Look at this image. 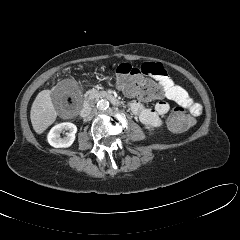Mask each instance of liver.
Segmentation results:
<instances>
[{
    "label": "liver",
    "instance_id": "1",
    "mask_svg": "<svg viewBox=\"0 0 240 240\" xmlns=\"http://www.w3.org/2000/svg\"><path fill=\"white\" fill-rule=\"evenodd\" d=\"M50 90L41 91L35 98L31 111L30 119L36 133H43L57 118Z\"/></svg>",
    "mask_w": 240,
    "mask_h": 240
}]
</instances>
